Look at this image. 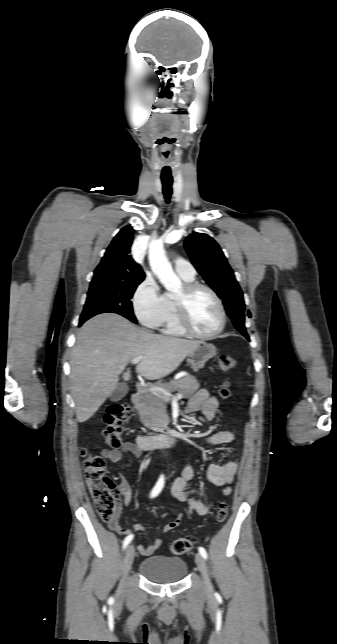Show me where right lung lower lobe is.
Listing matches in <instances>:
<instances>
[{"mask_svg":"<svg viewBox=\"0 0 337 644\" xmlns=\"http://www.w3.org/2000/svg\"><path fill=\"white\" fill-rule=\"evenodd\" d=\"M83 323H84V322H80V323H79V326H81Z\"/></svg>","mask_w":337,"mask_h":644,"instance_id":"right-lung-lower-lobe-1","label":"right lung lower lobe"}]
</instances>
